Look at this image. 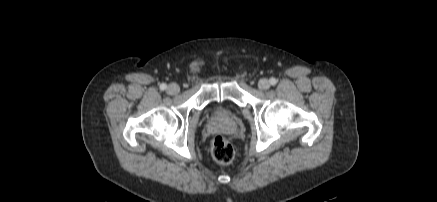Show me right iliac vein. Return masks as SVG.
I'll list each match as a JSON object with an SVG mask.
<instances>
[{
    "instance_id": "right-iliac-vein-1",
    "label": "right iliac vein",
    "mask_w": 437,
    "mask_h": 202,
    "mask_svg": "<svg viewBox=\"0 0 437 202\" xmlns=\"http://www.w3.org/2000/svg\"><path fill=\"white\" fill-rule=\"evenodd\" d=\"M180 91V87L176 83H172L167 87V92L171 95L177 94Z\"/></svg>"
}]
</instances>
